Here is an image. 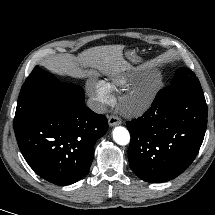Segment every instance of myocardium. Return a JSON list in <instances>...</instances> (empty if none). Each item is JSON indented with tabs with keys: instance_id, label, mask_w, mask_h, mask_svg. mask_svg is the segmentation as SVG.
I'll use <instances>...</instances> for the list:
<instances>
[{
	"instance_id": "1",
	"label": "myocardium",
	"mask_w": 215,
	"mask_h": 215,
	"mask_svg": "<svg viewBox=\"0 0 215 215\" xmlns=\"http://www.w3.org/2000/svg\"><path fill=\"white\" fill-rule=\"evenodd\" d=\"M139 102H140V103L145 102V98H141V99L139 100Z\"/></svg>"
}]
</instances>
